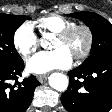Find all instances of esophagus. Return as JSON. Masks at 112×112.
I'll return each mask as SVG.
<instances>
[{"label":"esophagus","mask_w":112,"mask_h":112,"mask_svg":"<svg viewBox=\"0 0 112 112\" xmlns=\"http://www.w3.org/2000/svg\"><path fill=\"white\" fill-rule=\"evenodd\" d=\"M48 76L47 75H40L38 76V80L40 83H44L47 80Z\"/></svg>","instance_id":"esophagus-1"}]
</instances>
